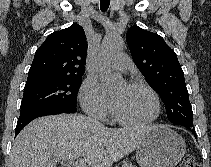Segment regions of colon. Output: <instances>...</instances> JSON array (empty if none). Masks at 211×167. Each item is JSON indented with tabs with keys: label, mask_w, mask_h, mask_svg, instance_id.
Listing matches in <instances>:
<instances>
[{
	"label": "colon",
	"mask_w": 211,
	"mask_h": 167,
	"mask_svg": "<svg viewBox=\"0 0 211 167\" xmlns=\"http://www.w3.org/2000/svg\"><path fill=\"white\" fill-rule=\"evenodd\" d=\"M178 167H198L193 156H186L183 158Z\"/></svg>",
	"instance_id": "1"
}]
</instances>
